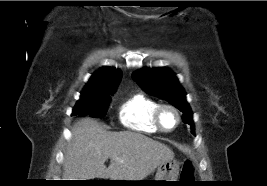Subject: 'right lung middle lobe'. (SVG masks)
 <instances>
[{"label":"right lung middle lobe","mask_w":267,"mask_h":186,"mask_svg":"<svg viewBox=\"0 0 267 186\" xmlns=\"http://www.w3.org/2000/svg\"><path fill=\"white\" fill-rule=\"evenodd\" d=\"M114 92L115 90L82 92L80 99L73 108L72 116L104 117L111 100L110 95Z\"/></svg>","instance_id":"obj_1"}]
</instances>
